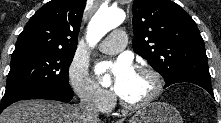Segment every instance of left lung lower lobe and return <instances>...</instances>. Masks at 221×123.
Wrapping results in <instances>:
<instances>
[{
  "instance_id": "obj_1",
  "label": "left lung lower lobe",
  "mask_w": 221,
  "mask_h": 123,
  "mask_svg": "<svg viewBox=\"0 0 221 123\" xmlns=\"http://www.w3.org/2000/svg\"><path fill=\"white\" fill-rule=\"evenodd\" d=\"M179 82H189V83L197 84L201 86L202 88L206 89L214 97L210 78H205V77H201L197 75H187V76H182V77L172 79L169 82H166L164 88L168 87L171 84L179 83Z\"/></svg>"
}]
</instances>
